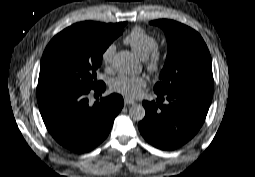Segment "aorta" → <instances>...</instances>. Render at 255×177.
<instances>
[{
	"mask_svg": "<svg viewBox=\"0 0 255 177\" xmlns=\"http://www.w3.org/2000/svg\"><path fill=\"white\" fill-rule=\"evenodd\" d=\"M114 67L120 73L138 74L140 65L129 51H120L114 57ZM145 108L140 104H133L129 109V116L134 121H141L145 117Z\"/></svg>",
	"mask_w": 255,
	"mask_h": 177,
	"instance_id": "aorta-1",
	"label": "aorta"
}]
</instances>
